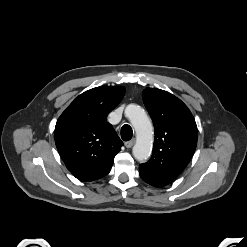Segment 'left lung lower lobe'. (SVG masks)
<instances>
[{
	"mask_svg": "<svg viewBox=\"0 0 247 247\" xmlns=\"http://www.w3.org/2000/svg\"><path fill=\"white\" fill-rule=\"evenodd\" d=\"M140 176H141V175H140ZM141 178H142L145 182L149 183V184L152 185V186H155V187H162V186H160L159 184H157V183H155V182H153V181H149V180L145 179L143 176H141Z\"/></svg>",
	"mask_w": 247,
	"mask_h": 247,
	"instance_id": "0a47b994",
	"label": "left lung lower lobe"
}]
</instances>
